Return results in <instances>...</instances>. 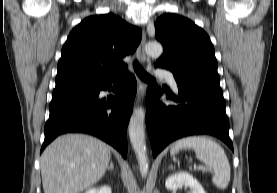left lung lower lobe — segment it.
<instances>
[{"label": "left lung lower lobe", "mask_w": 277, "mask_h": 193, "mask_svg": "<svg viewBox=\"0 0 277 193\" xmlns=\"http://www.w3.org/2000/svg\"><path fill=\"white\" fill-rule=\"evenodd\" d=\"M177 84L179 96H170L181 103L177 106L156 101L163 93L160 88L150 86L148 89L146 125L153 156L172 141L197 134L216 136L233 151L226 102L219 82L200 80Z\"/></svg>", "instance_id": "left-lung-lower-lobe-1"}]
</instances>
